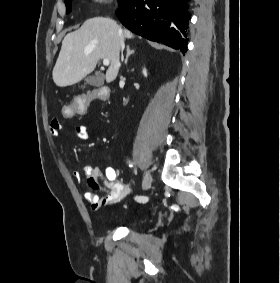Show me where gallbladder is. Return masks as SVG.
I'll use <instances>...</instances> for the list:
<instances>
[{
    "mask_svg": "<svg viewBox=\"0 0 280 283\" xmlns=\"http://www.w3.org/2000/svg\"><path fill=\"white\" fill-rule=\"evenodd\" d=\"M86 84L94 87H101L104 84V75L100 72H97L95 75H90L85 79V84L82 88H85Z\"/></svg>",
    "mask_w": 280,
    "mask_h": 283,
    "instance_id": "bac80fb5",
    "label": "gallbladder"
}]
</instances>
